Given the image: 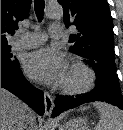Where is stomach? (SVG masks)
I'll return each instance as SVG.
<instances>
[{
  "instance_id": "0dacf381",
  "label": "stomach",
  "mask_w": 123,
  "mask_h": 130,
  "mask_svg": "<svg viewBox=\"0 0 123 130\" xmlns=\"http://www.w3.org/2000/svg\"><path fill=\"white\" fill-rule=\"evenodd\" d=\"M59 130H89L87 120L84 118H73L59 125Z\"/></svg>"
}]
</instances>
